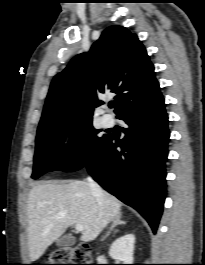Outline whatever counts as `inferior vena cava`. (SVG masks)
<instances>
[{
    "mask_svg": "<svg viewBox=\"0 0 205 265\" xmlns=\"http://www.w3.org/2000/svg\"><path fill=\"white\" fill-rule=\"evenodd\" d=\"M87 180H88L89 186H90L93 194L97 198L98 205L100 207H102V205H103V194H102V190H101L100 186L91 177H88Z\"/></svg>",
    "mask_w": 205,
    "mask_h": 265,
    "instance_id": "obj_1",
    "label": "inferior vena cava"
}]
</instances>
